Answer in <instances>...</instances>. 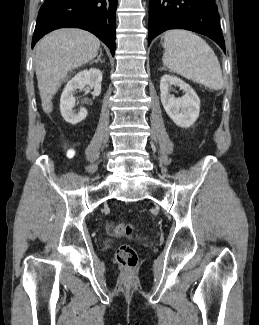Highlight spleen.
I'll use <instances>...</instances> for the list:
<instances>
[{"instance_id": "obj_1", "label": "spleen", "mask_w": 259, "mask_h": 325, "mask_svg": "<svg viewBox=\"0 0 259 325\" xmlns=\"http://www.w3.org/2000/svg\"><path fill=\"white\" fill-rule=\"evenodd\" d=\"M163 39V63L168 69L210 89L223 87L220 63L206 41L181 29L167 31Z\"/></svg>"}]
</instances>
